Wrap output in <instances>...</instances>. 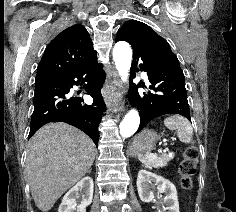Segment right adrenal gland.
Returning a JSON list of instances; mask_svg holds the SVG:
<instances>
[{"label":"right adrenal gland","mask_w":236,"mask_h":212,"mask_svg":"<svg viewBox=\"0 0 236 212\" xmlns=\"http://www.w3.org/2000/svg\"><path fill=\"white\" fill-rule=\"evenodd\" d=\"M88 173H91V169L88 170Z\"/></svg>","instance_id":"obj_1"}]
</instances>
